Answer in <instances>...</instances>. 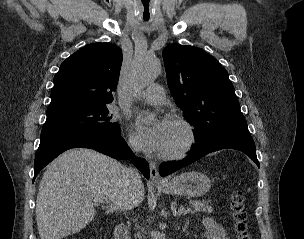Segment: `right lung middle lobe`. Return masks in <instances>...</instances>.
I'll return each instance as SVG.
<instances>
[{
  "label": "right lung middle lobe",
  "instance_id": "obj_1",
  "mask_svg": "<svg viewBox=\"0 0 304 239\" xmlns=\"http://www.w3.org/2000/svg\"><path fill=\"white\" fill-rule=\"evenodd\" d=\"M67 131L93 132L113 137L121 135L119 124L113 122L106 105L47 115L41 134Z\"/></svg>",
  "mask_w": 304,
  "mask_h": 239
}]
</instances>
